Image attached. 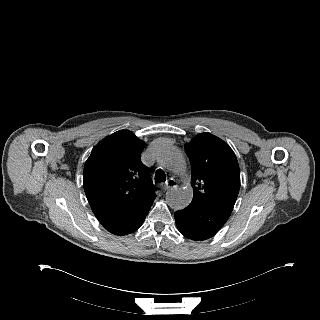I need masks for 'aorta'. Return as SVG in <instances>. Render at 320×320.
Segmentation results:
<instances>
[{"instance_id": "1", "label": "aorta", "mask_w": 320, "mask_h": 320, "mask_svg": "<svg viewBox=\"0 0 320 320\" xmlns=\"http://www.w3.org/2000/svg\"><path fill=\"white\" fill-rule=\"evenodd\" d=\"M159 164L174 173H185L186 162L182 153L173 146H166L158 154ZM193 198V192L188 187L179 188L167 194V203L174 210L187 207Z\"/></svg>"}]
</instances>
